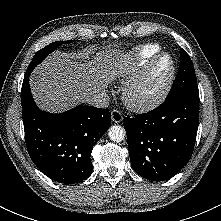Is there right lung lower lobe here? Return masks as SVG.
Here are the masks:
<instances>
[{
	"label": "right lung lower lobe",
	"mask_w": 221,
	"mask_h": 221,
	"mask_svg": "<svg viewBox=\"0 0 221 221\" xmlns=\"http://www.w3.org/2000/svg\"><path fill=\"white\" fill-rule=\"evenodd\" d=\"M27 70L21 89L22 118L26 146L34 164L49 178L74 184L88 178L93 170L91 149L111 124L108 109L77 106L52 114L40 110L29 85Z\"/></svg>",
	"instance_id": "right-lung-lower-lobe-1"
}]
</instances>
